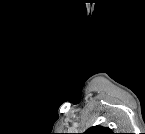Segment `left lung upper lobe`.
<instances>
[{"label":"left lung upper lobe","instance_id":"obj_1","mask_svg":"<svg viewBox=\"0 0 145 134\" xmlns=\"http://www.w3.org/2000/svg\"><path fill=\"white\" fill-rule=\"evenodd\" d=\"M84 134H113L110 128L93 126L85 131Z\"/></svg>","mask_w":145,"mask_h":134}]
</instances>
